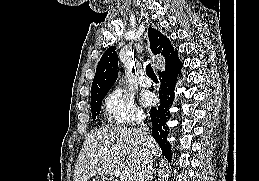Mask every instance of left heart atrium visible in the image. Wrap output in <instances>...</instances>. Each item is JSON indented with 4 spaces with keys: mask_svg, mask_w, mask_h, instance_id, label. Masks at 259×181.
I'll return each instance as SVG.
<instances>
[{
    "mask_svg": "<svg viewBox=\"0 0 259 181\" xmlns=\"http://www.w3.org/2000/svg\"><path fill=\"white\" fill-rule=\"evenodd\" d=\"M143 103L147 106L152 105L155 102V97L152 93H146L143 96Z\"/></svg>",
    "mask_w": 259,
    "mask_h": 181,
    "instance_id": "left-heart-atrium-1",
    "label": "left heart atrium"
}]
</instances>
